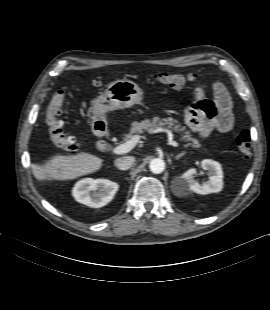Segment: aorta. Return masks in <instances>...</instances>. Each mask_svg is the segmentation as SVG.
Returning a JSON list of instances; mask_svg holds the SVG:
<instances>
[{
	"label": "aorta",
	"instance_id": "aorta-1",
	"mask_svg": "<svg viewBox=\"0 0 270 310\" xmlns=\"http://www.w3.org/2000/svg\"><path fill=\"white\" fill-rule=\"evenodd\" d=\"M149 168L152 173L160 174L165 169V162L160 158L152 159Z\"/></svg>",
	"mask_w": 270,
	"mask_h": 310
}]
</instances>
